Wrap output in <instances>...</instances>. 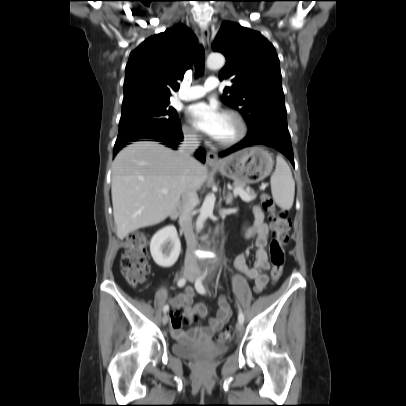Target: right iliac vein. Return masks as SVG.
Returning a JSON list of instances; mask_svg holds the SVG:
<instances>
[{
	"mask_svg": "<svg viewBox=\"0 0 406 406\" xmlns=\"http://www.w3.org/2000/svg\"><path fill=\"white\" fill-rule=\"evenodd\" d=\"M184 277L186 278H192L193 277V269L192 268H185L184 270ZM168 322V315L164 314V316L162 317V323L165 325Z\"/></svg>",
	"mask_w": 406,
	"mask_h": 406,
	"instance_id": "obj_1",
	"label": "right iliac vein"
}]
</instances>
